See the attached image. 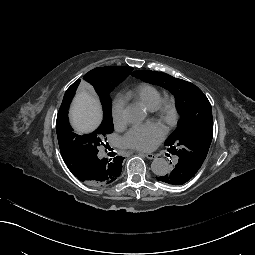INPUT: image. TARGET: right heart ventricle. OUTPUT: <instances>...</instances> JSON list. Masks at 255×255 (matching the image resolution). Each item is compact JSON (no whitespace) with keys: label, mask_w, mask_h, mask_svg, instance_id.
Instances as JSON below:
<instances>
[{"label":"right heart ventricle","mask_w":255,"mask_h":255,"mask_svg":"<svg viewBox=\"0 0 255 255\" xmlns=\"http://www.w3.org/2000/svg\"><path fill=\"white\" fill-rule=\"evenodd\" d=\"M161 96L159 88L150 83H143L134 92L128 94V97H133L142 106L152 111L156 109Z\"/></svg>","instance_id":"right-heart-ventricle-1"}]
</instances>
